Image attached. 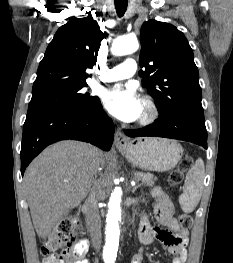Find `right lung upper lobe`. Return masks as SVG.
<instances>
[{
    "label": "right lung upper lobe",
    "mask_w": 233,
    "mask_h": 263,
    "mask_svg": "<svg viewBox=\"0 0 233 263\" xmlns=\"http://www.w3.org/2000/svg\"><path fill=\"white\" fill-rule=\"evenodd\" d=\"M105 36L91 16L60 27L39 64L32 96L86 84L85 70L96 63Z\"/></svg>",
    "instance_id": "cb5924a9"
}]
</instances>
